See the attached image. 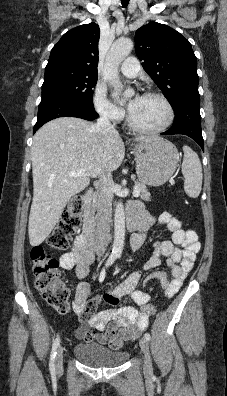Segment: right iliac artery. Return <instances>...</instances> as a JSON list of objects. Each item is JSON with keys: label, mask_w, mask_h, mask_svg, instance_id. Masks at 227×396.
<instances>
[{"label": "right iliac artery", "mask_w": 227, "mask_h": 396, "mask_svg": "<svg viewBox=\"0 0 227 396\" xmlns=\"http://www.w3.org/2000/svg\"><path fill=\"white\" fill-rule=\"evenodd\" d=\"M116 258H117V255L111 254L106 262V267H109L110 265H112L114 263V261L116 260ZM59 343H60V338L57 337L54 340L53 345H52L50 361H49V369L52 373L55 371V357L57 354V348L59 346Z\"/></svg>", "instance_id": "1"}]
</instances>
